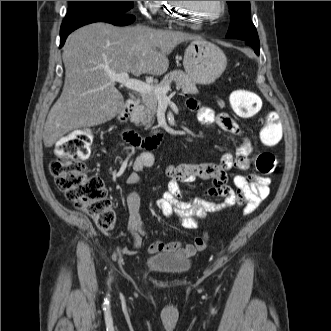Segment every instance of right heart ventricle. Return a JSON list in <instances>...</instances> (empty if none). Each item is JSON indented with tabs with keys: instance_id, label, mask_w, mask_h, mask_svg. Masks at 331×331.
<instances>
[{
	"instance_id": "obj_1",
	"label": "right heart ventricle",
	"mask_w": 331,
	"mask_h": 331,
	"mask_svg": "<svg viewBox=\"0 0 331 331\" xmlns=\"http://www.w3.org/2000/svg\"><path fill=\"white\" fill-rule=\"evenodd\" d=\"M172 8V1H160L159 9L164 13L170 11Z\"/></svg>"
}]
</instances>
